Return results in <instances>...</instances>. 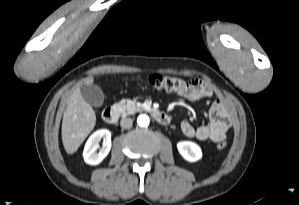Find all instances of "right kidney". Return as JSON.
<instances>
[{"instance_id":"right-kidney-1","label":"right kidney","mask_w":299,"mask_h":205,"mask_svg":"<svg viewBox=\"0 0 299 205\" xmlns=\"http://www.w3.org/2000/svg\"><path fill=\"white\" fill-rule=\"evenodd\" d=\"M103 139V145L99 152V141ZM111 149V133L107 129H100L95 131L87 140L83 158L84 161L89 165H98L109 153Z\"/></svg>"}]
</instances>
